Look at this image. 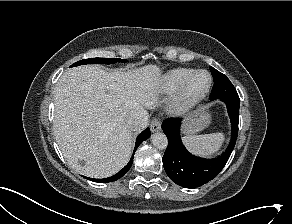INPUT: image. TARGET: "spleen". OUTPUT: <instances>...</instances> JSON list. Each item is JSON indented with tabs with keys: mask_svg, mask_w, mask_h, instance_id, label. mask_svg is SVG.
<instances>
[{
	"mask_svg": "<svg viewBox=\"0 0 292 224\" xmlns=\"http://www.w3.org/2000/svg\"><path fill=\"white\" fill-rule=\"evenodd\" d=\"M224 140L225 135L221 132L183 137V142L191 153L205 157H209L217 153L220 150Z\"/></svg>",
	"mask_w": 292,
	"mask_h": 224,
	"instance_id": "1",
	"label": "spleen"
}]
</instances>
